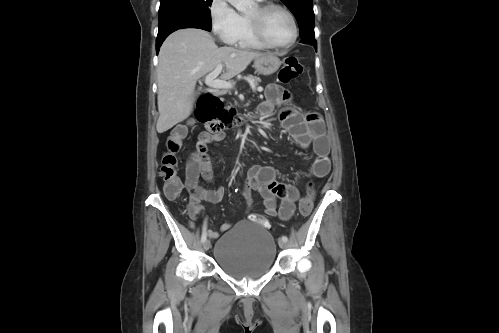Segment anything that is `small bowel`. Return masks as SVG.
<instances>
[{
	"instance_id": "small-bowel-1",
	"label": "small bowel",
	"mask_w": 499,
	"mask_h": 333,
	"mask_svg": "<svg viewBox=\"0 0 499 333\" xmlns=\"http://www.w3.org/2000/svg\"><path fill=\"white\" fill-rule=\"evenodd\" d=\"M265 97L266 100L258 108L262 115L272 113L276 106L288 102L291 98L289 92L276 83L267 85ZM280 121L282 127L302 148L312 147L316 155L312 164L313 176L325 177L330 171L331 162L330 147L322 118L315 112L302 113L297 108L288 105L280 111ZM223 138V132L201 133L195 151L187 160L185 187L189 193L188 209L192 216L200 212L202 202L218 203L224 196L225 190L222 186L208 189L200 184V179L209 184L214 183L208 148L210 144L220 142ZM251 191H257L261 195L266 215L277 216L283 221L292 217L295 203L300 196L299 190L294 185L280 182L273 168L269 166L255 165L247 173L243 193L248 209L253 204ZM278 199L281 201L279 209H277ZM231 226V223H224L220 231H227ZM208 235L211 238H217L219 232L209 230Z\"/></svg>"
}]
</instances>
